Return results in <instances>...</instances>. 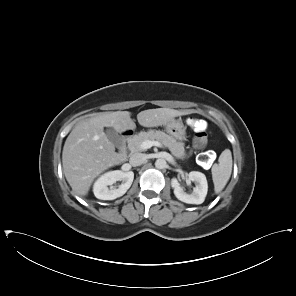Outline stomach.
I'll use <instances>...</instances> for the list:
<instances>
[{
  "instance_id": "1",
  "label": "stomach",
  "mask_w": 296,
  "mask_h": 296,
  "mask_svg": "<svg viewBox=\"0 0 296 296\" xmlns=\"http://www.w3.org/2000/svg\"><path fill=\"white\" fill-rule=\"evenodd\" d=\"M166 132L178 141L186 140V126L183 122L178 120H172L165 125Z\"/></svg>"
}]
</instances>
